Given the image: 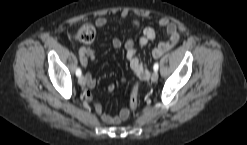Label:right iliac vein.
Wrapping results in <instances>:
<instances>
[{
  "label": "right iliac vein",
  "mask_w": 247,
  "mask_h": 145,
  "mask_svg": "<svg viewBox=\"0 0 247 145\" xmlns=\"http://www.w3.org/2000/svg\"><path fill=\"white\" fill-rule=\"evenodd\" d=\"M78 82L81 86H84L86 84V78L84 76H80Z\"/></svg>",
  "instance_id": "right-iliac-vein-1"
}]
</instances>
